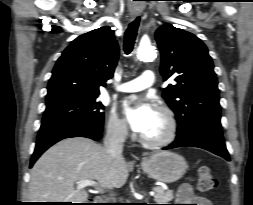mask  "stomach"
I'll return each instance as SVG.
<instances>
[{
	"label": "stomach",
	"mask_w": 253,
	"mask_h": 205,
	"mask_svg": "<svg viewBox=\"0 0 253 205\" xmlns=\"http://www.w3.org/2000/svg\"><path fill=\"white\" fill-rule=\"evenodd\" d=\"M141 167L151 178L170 183L180 179L187 169L185 159L171 151H161L144 159Z\"/></svg>",
	"instance_id": "1"
}]
</instances>
